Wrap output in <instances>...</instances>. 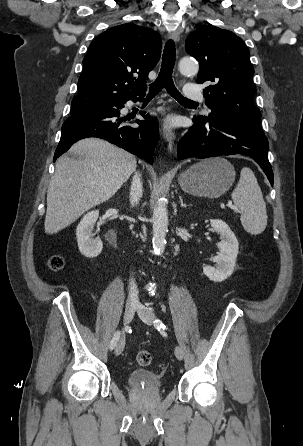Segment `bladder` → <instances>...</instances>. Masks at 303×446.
<instances>
[{
  "label": "bladder",
  "instance_id": "31cf9c89",
  "mask_svg": "<svg viewBox=\"0 0 303 446\" xmlns=\"http://www.w3.org/2000/svg\"><path fill=\"white\" fill-rule=\"evenodd\" d=\"M127 384L131 388L159 389L161 378L153 371L133 369L127 375Z\"/></svg>",
  "mask_w": 303,
  "mask_h": 446
}]
</instances>
